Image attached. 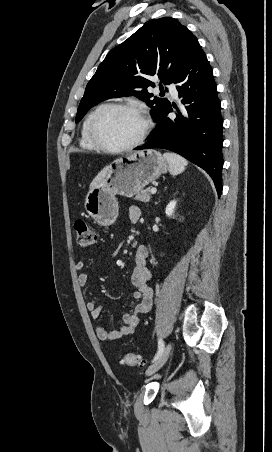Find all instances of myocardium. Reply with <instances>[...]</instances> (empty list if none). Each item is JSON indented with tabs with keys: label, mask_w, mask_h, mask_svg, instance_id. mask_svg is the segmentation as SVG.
Listing matches in <instances>:
<instances>
[{
	"label": "myocardium",
	"mask_w": 272,
	"mask_h": 452,
	"mask_svg": "<svg viewBox=\"0 0 272 452\" xmlns=\"http://www.w3.org/2000/svg\"><path fill=\"white\" fill-rule=\"evenodd\" d=\"M121 109L132 112L142 121V130L138 137L131 143L123 146H112L103 141L96 131V122L99 116L107 110ZM151 123L147 115L137 106L128 103H106L99 106L90 116L87 123V133L92 143L98 148L110 153H123L135 149L141 145L149 134Z\"/></svg>",
	"instance_id": "f54148a6"
}]
</instances>
